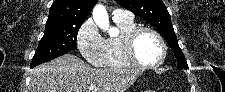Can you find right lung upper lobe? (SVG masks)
Here are the masks:
<instances>
[{"label": "right lung upper lobe", "instance_id": "cb5924a9", "mask_svg": "<svg viewBox=\"0 0 225 92\" xmlns=\"http://www.w3.org/2000/svg\"><path fill=\"white\" fill-rule=\"evenodd\" d=\"M96 2L97 0H55L50 7L46 25L84 21Z\"/></svg>", "mask_w": 225, "mask_h": 92}]
</instances>
